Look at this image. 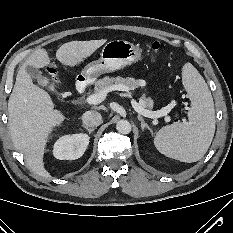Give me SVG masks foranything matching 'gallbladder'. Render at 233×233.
<instances>
[{"label": "gallbladder", "instance_id": "gallbladder-1", "mask_svg": "<svg viewBox=\"0 0 233 233\" xmlns=\"http://www.w3.org/2000/svg\"><path fill=\"white\" fill-rule=\"evenodd\" d=\"M26 71L32 78L37 80L40 86H49L50 89L54 88L52 85H49L48 79L42 75V72L39 69L33 66H27Z\"/></svg>", "mask_w": 233, "mask_h": 233}]
</instances>
